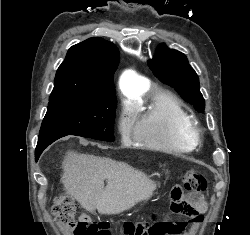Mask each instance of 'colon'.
I'll return each mask as SVG.
<instances>
[{
  "mask_svg": "<svg viewBox=\"0 0 250 235\" xmlns=\"http://www.w3.org/2000/svg\"><path fill=\"white\" fill-rule=\"evenodd\" d=\"M207 189V179L198 170H189L183 177V186L175 187L171 191L173 210L182 211V202L198 203L201 194ZM185 194V195H184ZM52 213L56 220L64 223L74 235H113L108 224L87 223L76 219V207L74 201L67 195H59L52 207ZM131 228L140 235H163L164 231L159 222H154L146 228H137L127 223L123 227V234L128 235Z\"/></svg>",
  "mask_w": 250,
  "mask_h": 235,
  "instance_id": "colon-1",
  "label": "colon"
}]
</instances>
